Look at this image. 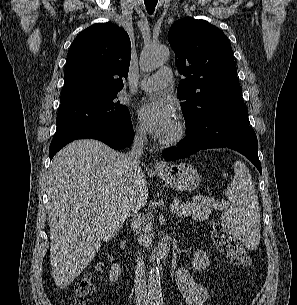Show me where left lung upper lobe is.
I'll return each mask as SVG.
<instances>
[{
  "label": "left lung upper lobe",
  "instance_id": "left-lung-upper-lobe-1",
  "mask_svg": "<svg viewBox=\"0 0 297 305\" xmlns=\"http://www.w3.org/2000/svg\"><path fill=\"white\" fill-rule=\"evenodd\" d=\"M168 41L179 72L186 76L177 89L186 123L241 98L232 48L220 29L205 20L184 18L171 26Z\"/></svg>",
  "mask_w": 297,
  "mask_h": 305
}]
</instances>
